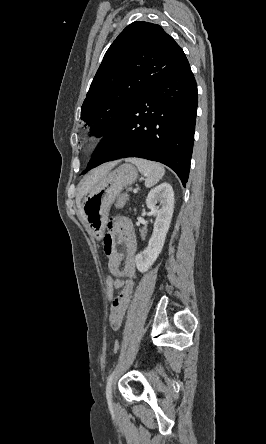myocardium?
I'll list each match as a JSON object with an SVG mask.
<instances>
[{
    "mask_svg": "<svg viewBox=\"0 0 266 444\" xmlns=\"http://www.w3.org/2000/svg\"><path fill=\"white\" fill-rule=\"evenodd\" d=\"M99 141H100V138H99V137L91 139L90 142H89L88 147H89L90 149L95 148V147L97 146V144L99 143Z\"/></svg>",
    "mask_w": 266,
    "mask_h": 444,
    "instance_id": "myocardium-1",
    "label": "myocardium"
}]
</instances>
